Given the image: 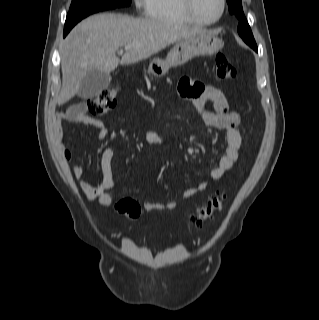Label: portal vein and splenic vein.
Masks as SVG:
<instances>
[{"label": "portal vein and splenic vein", "instance_id": "portal-vein-and-splenic-vein-1", "mask_svg": "<svg viewBox=\"0 0 319 320\" xmlns=\"http://www.w3.org/2000/svg\"><path fill=\"white\" fill-rule=\"evenodd\" d=\"M133 46L132 45H128V46H125L124 47V49L125 50H129V49H131ZM123 52V50H120V53H122Z\"/></svg>", "mask_w": 319, "mask_h": 320}]
</instances>
